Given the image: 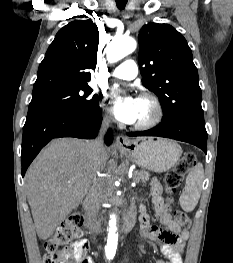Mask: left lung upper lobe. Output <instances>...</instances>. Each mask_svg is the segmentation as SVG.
<instances>
[{
	"mask_svg": "<svg viewBox=\"0 0 233 263\" xmlns=\"http://www.w3.org/2000/svg\"><path fill=\"white\" fill-rule=\"evenodd\" d=\"M143 84L161 101L162 121L204 118L198 71L187 41L168 24L149 23L139 33Z\"/></svg>",
	"mask_w": 233,
	"mask_h": 263,
	"instance_id": "5c2ea615",
	"label": "left lung upper lobe"
}]
</instances>
